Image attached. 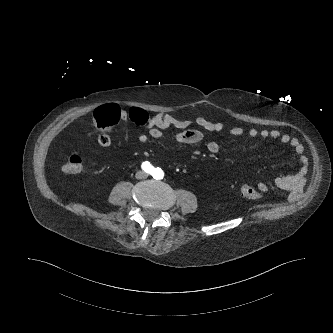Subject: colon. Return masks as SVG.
<instances>
[{"label": "colon", "mask_w": 333, "mask_h": 333, "mask_svg": "<svg viewBox=\"0 0 333 333\" xmlns=\"http://www.w3.org/2000/svg\"><path fill=\"white\" fill-rule=\"evenodd\" d=\"M120 119V109L115 104H106L98 107L93 116V125L100 131L104 132L113 127ZM64 171L69 174H80L84 171L82 158L77 154L69 156ZM241 194L251 200L260 199V193L251 185L244 184L241 187Z\"/></svg>", "instance_id": "obj_1"}]
</instances>
